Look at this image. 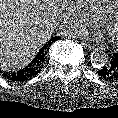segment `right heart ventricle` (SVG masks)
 <instances>
[{
  "instance_id": "obj_1",
  "label": "right heart ventricle",
  "mask_w": 118,
  "mask_h": 118,
  "mask_svg": "<svg viewBox=\"0 0 118 118\" xmlns=\"http://www.w3.org/2000/svg\"><path fill=\"white\" fill-rule=\"evenodd\" d=\"M86 10L94 17L100 18L112 0H81Z\"/></svg>"
}]
</instances>
